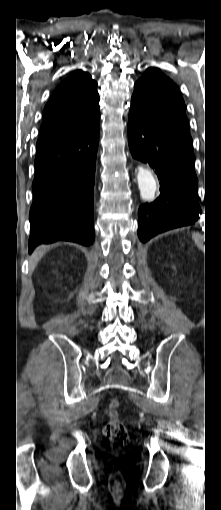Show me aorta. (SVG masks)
I'll list each match as a JSON object with an SVG mask.
<instances>
[{
	"label": "aorta",
	"instance_id": "aorta-1",
	"mask_svg": "<svg viewBox=\"0 0 221 510\" xmlns=\"http://www.w3.org/2000/svg\"><path fill=\"white\" fill-rule=\"evenodd\" d=\"M137 170V181L141 198L144 200L153 199L157 189L156 180L153 174L150 170L143 167H138Z\"/></svg>",
	"mask_w": 221,
	"mask_h": 510
}]
</instances>
